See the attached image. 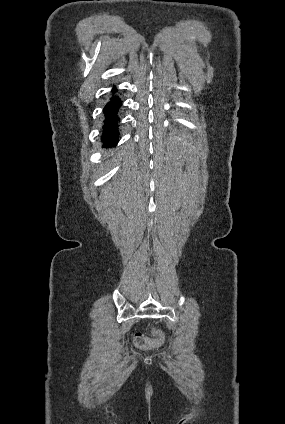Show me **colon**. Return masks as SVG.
Here are the masks:
<instances>
[{"instance_id":"5ec220e1","label":"colon","mask_w":285,"mask_h":424,"mask_svg":"<svg viewBox=\"0 0 285 424\" xmlns=\"http://www.w3.org/2000/svg\"><path fill=\"white\" fill-rule=\"evenodd\" d=\"M165 333L161 329H154V338L151 339L142 333H137L134 338L135 345L139 349H150L160 346L165 340Z\"/></svg>"}]
</instances>
